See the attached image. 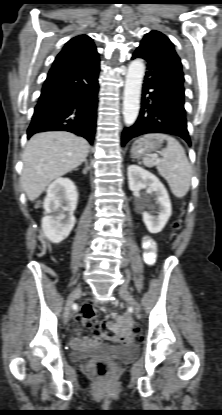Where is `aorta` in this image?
Wrapping results in <instances>:
<instances>
[{
    "instance_id": "obj_1",
    "label": "aorta",
    "mask_w": 222,
    "mask_h": 415,
    "mask_svg": "<svg viewBox=\"0 0 222 415\" xmlns=\"http://www.w3.org/2000/svg\"><path fill=\"white\" fill-rule=\"evenodd\" d=\"M144 72L145 64L141 59L133 60L128 67L123 100V116L127 126L133 125L139 114Z\"/></svg>"
}]
</instances>
